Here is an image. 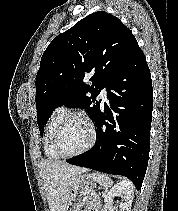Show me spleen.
Here are the masks:
<instances>
[{
    "label": "spleen",
    "instance_id": "spleen-1",
    "mask_svg": "<svg viewBox=\"0 0 178 211\" xmlns=\"http://www.w3.org/2000/svg\"><path fill=\"white\" fill-rule=\"evenodd\" d=\"M90 177L98 182L100 185H104L105 187H109L112 185L111 179L106 174L101 173H92Z\"/></svg>",
    "mask_w": 178,
    "mask_h": 211
}]
</instances>
